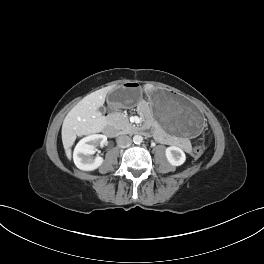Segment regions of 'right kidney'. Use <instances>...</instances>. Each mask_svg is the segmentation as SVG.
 Instances as JSON below:
<instances>
[{"label": "right kidney", "mask_w": 264, "mask_h": 264, "mask_svg": "<svg viewBox=\"0 0 264 264\" xmlns=\"http://www.w3.org/2000/svg\"><path fill=\"white\" fill-rule=\"evenodd\" d=\"M107 142V137L101 134H93L81 139L73 153V160L77 168L83 171H93L100 167L104 159L100 156H92L98 145Z\"/></svg>", "instance_id": "ca27d5eb"}]
</instances>
